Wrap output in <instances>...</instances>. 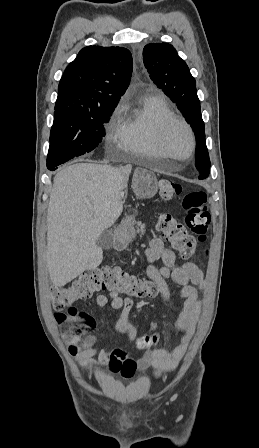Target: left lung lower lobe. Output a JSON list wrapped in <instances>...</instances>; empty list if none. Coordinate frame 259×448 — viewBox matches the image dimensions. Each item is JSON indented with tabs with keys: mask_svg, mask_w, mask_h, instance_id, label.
Returning <instances> with one entry per match:
<instances>
[{
	"mask_svg": "<svg viewBox=\"0 0 259 448\" xmlns=\"http://www.w3.org/2000/svg\"><path fill=\"white\" fill-rule=\"evenodd\" d=\"M209 172H210V171H208V172H206V173H201V172H200V176H199V178H200V179L206 178V177L208 176Z\"/></svg>",
	"mask_w": 259,
	"mask_h": 448,
	"instance_id": "0a47b994",
	"label": "left lung lower lobe"
}]
</instances>
